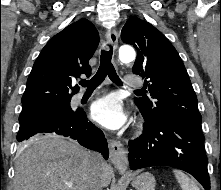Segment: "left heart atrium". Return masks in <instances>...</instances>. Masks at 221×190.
Instances as JSON below:
<instances>
[{"label":"left heart atrium","mask_w":221,"mask_h":190,"mask_svg":"<svg viewBox=\"0 0 221 190\" xmlns=\"http://www.w3.org/2000/svg\"><path fill=\"white\" fill-rule=\"evenodd\" d=\"M92 118L100 125L108 129H118L126 121L120 100L108 95L98 99L91 107Z\"/></svg>","instance_id":"obj_1"}]
</instances>
